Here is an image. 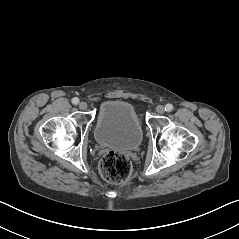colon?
Returning a JSON list of instances; mask_svg holds the SVG:
<instances>
[{"mask_svg":"<svg viewBox=\"0 0 239 239\" xmlns=\"http://www.w3.org/2000/svg\"><path fill=\"white\" fill-rule=\"evenodd\" d=\"M99 170L105 180L117 184L129 179L132 173V166L130 160L125 155L109 152L102 157Z\"/></svg>","mask_w":239,"mask_h":239,"instance_id":"colon-1","label":"colon"}]
</instances>
